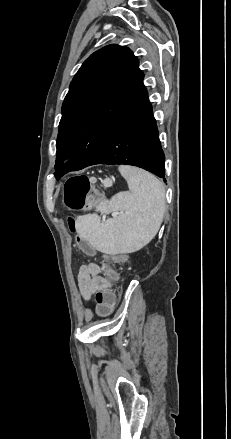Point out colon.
Listing matches in <instances>:
<instances>
[{"instance_id":"5ec220e1","label":"colon","mask_w":231,"mask_h":439,"mask_svg":"<svg viewBox=\"0 0 231 439\" xmlns=\"http://www.w3.org/2000/svg\"><path fill=\"white\" fill-rule=\"evenodd\" d=\"M91 198L90 200H88ZM63 199L66 207L70 210H80L86 208L92 210L93 194L91 192L90 180L85 175H78L69 178L64 185ZM69 228L73 233H77V223L74 218L68 220ZM77 243L88 259H97L98 252L94 250L92 245L80 235H77ZM127 259L125 254H119L116 257L118 262H124ZM102 270L105 273V279L108 282H115V272L107 264L102 265ZM96 309L94 311L95 316L100 317L101 320L106 321L113 315L115 311L117 294L109 287H101L99 293L95 294Z\"/></svg>"}]
</instances>
